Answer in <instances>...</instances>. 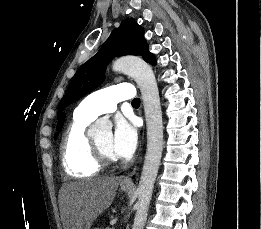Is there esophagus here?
<instances>
[{"label": "esophagus", "instance_id": "esophagus-1", "mask_svg": "<svg viewBox=\"0 0 261 229\" xmlns=\"http://www.w3.org/2000/svg\"><path fill=\"white\" fill-rule=\"evenodd\" d=\"M132 172L127 174L121 181L122 185H127V186H134V183L131 180Z\"/></svg>", "mask_w": 261, "mask_h": 229}]
</instances>
